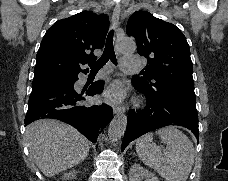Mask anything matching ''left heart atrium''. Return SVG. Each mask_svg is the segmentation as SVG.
<instances>
[{
    "label": "left heart atrium",
    "mask_w": 228,
    "mask_h": 181,
    "mask_svg": "<svg viewBox=\"0 0 228 181\" xmlns=\"http://www.w3.org/2000/svg\"><path fill=\"white\" fill-rule=\"evenodd\" d=\"M106 96L110 99H120L122 95V87L118 82H114L106 90Z\"/></svg>",
    "instance_id": "left-heart-atrium-1"
}]
</instances>
